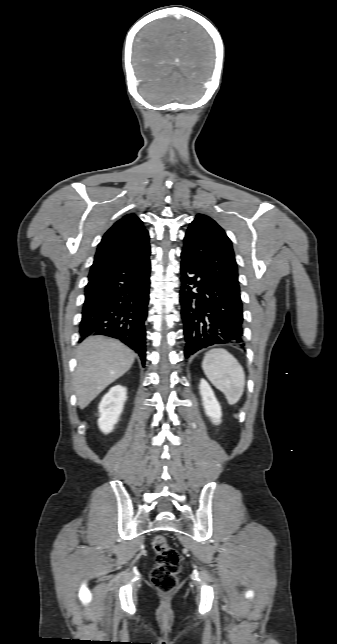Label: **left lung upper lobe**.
I'll use <instances>...</instances> for the list:
<instances>
[{"instance_id":"left-lung-upper-lobe-1","label":"left lung upper lobe","mask_w":337,"mask_h":644,"mask_svg":"<svg viewBox=\"0 0 337 644\" xmlns=\"http://www.w3.org/2000/svg\"><path fill=\"white\" fill-rule=\"evenodd\" d=\"M181 256H187L208 269L240 296L232 243L213 219L203 214L196 215L185 234Z\"/></svg>"}]
</instances>
